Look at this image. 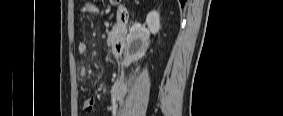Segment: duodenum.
Here are the masks:
<instances>
[{"label": "duodenum", "instance_id": "duodenum-1", "mask_svg": "<svg viewBox=\"0 0 283 116\" xmlns=\"http://www.w3.org/2000/svg\"><path fill=\"white\" fill-rule=\"evenodd\" d=\"M129 10L124 6H118L116 9V22L119 34L112 45V53L116 57H121L126 48V35L124 33L129 21Z\"/></svg>", "mask_w": 283, "mask_h": 116}]
</instances>
